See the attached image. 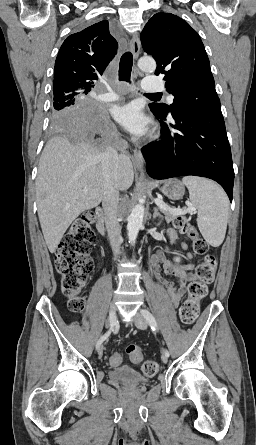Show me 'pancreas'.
Wrapping results in <instances>:
<instances>
[{
    "mask_svg": "<svg viewBox=\"0 0 256 445\" xmlns=\"http://www.w3.org/2000/svg\"><path fill=\"white\" fill-rule=\"evenodd\" d=\"M162 212H163V214H164V216H165V220H166L167 222H171V221L175 220L176 217H177V215L172 214L171 212H169V211H167V210H162Z\"/></svg>",
    "mask_w": 256,
    "mask_h": 445,
    "instance_id": "cf45deb5",
    "label": "pancreas"
}]
</instances>
